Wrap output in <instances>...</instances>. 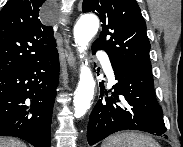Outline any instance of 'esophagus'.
I'll return each mask as SVG.
<instances>
[{"label":"esophagus","mask_w":183,"mask_h":147,"mask_svg":"<svg viewBox=\"0 0 183 147\" xmlns=\"http://www.w3.org/2000/svg\"><path fill=\"white\" fill-rule=\"evenodd\" d=\"M61 32L64 36V54L67 60V63L71 69L75 68L76 59L74 56V53L71 48L70 40H69V34H68V24H69V17L67 15H62L61 20Z\"/></svg>","instance_id":"esophagus-1"}]
</instances>
